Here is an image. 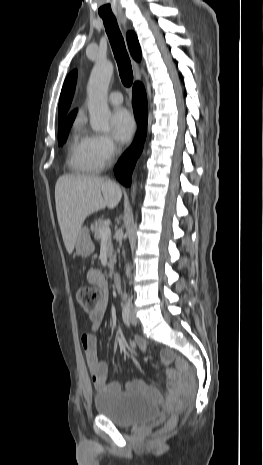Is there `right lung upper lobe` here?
I'll return each instance as SVG.
<instances>
[{
  "label": "right lung upper lobe",
  "instance_id": "right-lung-upper-lobe-1",
  "mask_svg": "<svg viewBox=\"0 0 263 465\" xmlns=\"http://www.w3.org/2000/svg\"><path fill=\"white\" fill-rule=\"evenodd\" d=\"M127 42H128L129 50H130L132 57L135 60L140 61L141 49H140L138 39L133 32L127 33ZM76 75L77 73L75 70L69 74V76L66 78L64 82L61 95H60V100H59V108H58L59 122L66 120L76 115L77 113V110H74L68 116H66L67 111L70 107L74 89H75Z\"/></svg>",
  "mask_w": 263,
  "mask_h": 465
}]
</instances>
